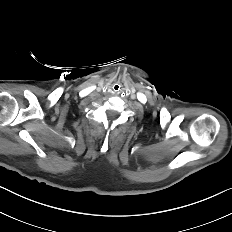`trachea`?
<instances>
[{"mask_svg": "<svg viewBox=\"0 0 232 232\" xmlns=\"http://www.w3.org/2000/svg\"><path fill=\"white\" fill-rule=\"evenodd\" d=\"M122 89V86L119 84V83H115L113 86H112V90L114 92H120Z\"/></svg>", "mask_w": 232, "mask_h": 232, "instance_id": "obj_1", "label": "trachea"}]
</instances>
